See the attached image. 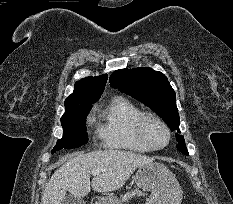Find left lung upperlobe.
Returning a JSON list of instances; mask_svg holds the SVG:
<instances>
[{
	"label": "left lung upper lobe",
	"instance_id": "1",
	"mask_svg": "<svg viewBox=\"0 0 233 204\" xmlns=\"http://www.w3.org/2000/svg\"><path fill=\"white\" fill-rule=\"evenodd\" d=\"M109 80L112 87L140 100L158 113L171 131L180 133L176 95L164 74L151 68L120 69ZM176 139L177 149L188 155L183 136L176 134Z\"/></svg>",
	"mask_w": 233,
	"mask_h": 204
}]
</instances>
